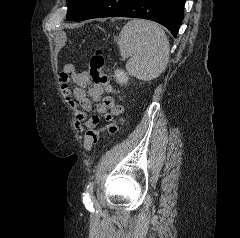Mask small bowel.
I'll list each match as a JSON object with an SVG mask.
<instances>
[{
	"label": "small bowel",
	"mask_w": 240,
	"mask_h": 238,
	"mask_svg": "<svg viewBox=\"0 0 240 238\" xmlns=\"http://www.w3.org/2000/svg\"><path fill=\"white\" fill-rule=\"evenodd\" d=\"M63 95L74 112L75 126L81 129V122L87 128H94L99 117L89 116L93 109V101L96 102V111L101 114L106 122L123 112V107L117 105L111 96H104V87L94 82L91 85L90 75L87 71H78L72 64H66L59 76ZM71 83L78 85L71 88ZM87 89V92H86ZM78 105L82 108L80 110Z\"/></svg>",
	"instance_id": "1"
}]
</instances>
